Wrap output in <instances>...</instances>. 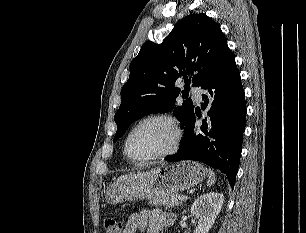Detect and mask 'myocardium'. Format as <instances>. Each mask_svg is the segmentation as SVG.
<instances>
[{
	"label": "myocardium",
	"instance_id": "f54148a6",
	"mask_svg": "<svg viewBox=\"0 0 306 233\" xmlns=\"http://www.w3.org/2000/svg\"><path fill=\"white\" fill-rule=\"evenodd\" d=\"M155 120H162L167 122L173 130L174 133V141L172 146L161 153L158 154H154V155H150L144 158H135L131 155L130 151H129V143H130V139L132 137V135L134 134V132L141 127L143 124L148 123L150 121H155ZM181 140H182V131L179 125L178 120L170 115V114H166V113H158V114H153L150 116L145 117L144 119H142L141 121H139L128 133L126 140H125V144H124V153L127 156V158L135 163H144V162H148V161H152V160H156V159H161V158H165L168 156L173 155L174 153H176L180 147L181 144Z\"/></svg>",
	"mask_w": 306,
	"mask_h": 233
}]
</instances>
